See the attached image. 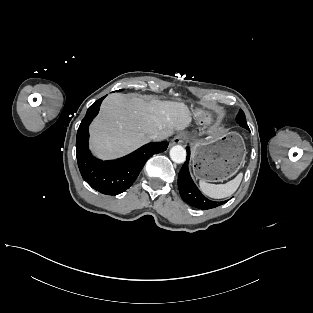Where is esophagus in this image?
Segmentation results:
<instances>
[{
  "label": "esophagus",
  "mask_w": 313,
  "mask_h": 313,
  "mask_svg": "<svg viewBox=\"0 0 313 313\" xmlns=\"http://www.w3.org/2000/svg\"><path fill=\"white\" fill-rule=\"evenodd\" d=\"M180 143H182V137L180 135L175 136L171 140V145L180 144Z\"/></svg>",
  "instance_id": "obj_1"
}]
</instances>
